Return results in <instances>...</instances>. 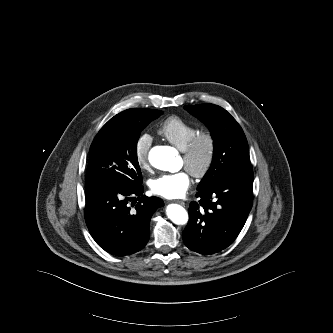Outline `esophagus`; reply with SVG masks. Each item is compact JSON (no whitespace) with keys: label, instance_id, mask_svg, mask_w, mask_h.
I'll return each instance as SVG.
<instances>
[{"label":"esophagus","instance_id":"1","mask_svg":"<svg viewBox=\"0 0 333 333\" xmlns=\"http://www.w3.org/2000/svg\"><path fill=\"white\" fill-rule=\"evenodd\" d=\"M175 203H178V204H180L182 206H185V203L183 201H181V200H176Z\"/></svg>","mask_w":333,"mask_h":333}]
</instances>
